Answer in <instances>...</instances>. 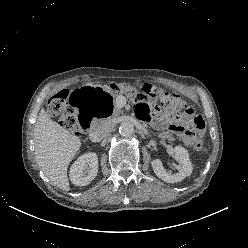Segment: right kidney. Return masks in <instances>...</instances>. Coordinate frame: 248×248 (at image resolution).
Returning a JSON list of instances; mask_svg holds the SVG:
<instances>
[{
    "mask_svg": "<svg viewBox=\"0 0 248 248\" xmlns=\"http://www.w3.org/2000/svg\"><path fill=\"white\" fill-rule=\"evenodd\" d=\"M98 172V157L89 152L80 156L70 168V180L76 186L88 185Z\"/></svg>",
    "mask_w": 248,
    "mask_h": 248,
    "instance_id": "ca27d5eb",
    "label": "right kidney"
}]
</instances>
